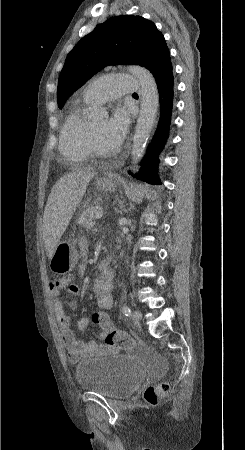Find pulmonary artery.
Wrapping results in <instances>:
<instances>
[{"mask_svg": "<svg viewBox=\"0 0 245 450\" xmlns=\"http://www.w3.org/2000/svg\"><path fill=\"white\" fill-rule=\"evenodd\" d=\"M141 82L130 74L106 75L94 79L84 89L83 96L92 103L100 104L121 95L140 91Z\"/></svg>", "mask_w": 245, "mask_h": 450, "instance_id": "e3ab8cb5", "label": "pulmonary artery"}]
</instances>
